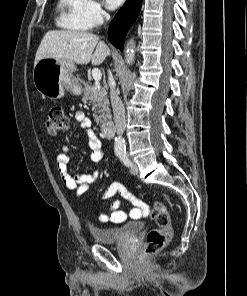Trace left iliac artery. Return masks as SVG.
I'll return each mask as SVG.
<instances>
[{
    "mask_svg": "<svg viewBox=\"0 0 247 296\" xmlns=\"http://www.w3.org/2000/svg\"><path fill=\"white\" fill-rule=\"evenodd\" d=\"M118 156L125 166L129 167L132 165L126 152H120L118 153Z\"/></svg>",
    "mask_w": 247,
    "mask_h": 296,
    "instance_id": "44dca946",
    "label": "left iliac artery"
}]
</instances>
